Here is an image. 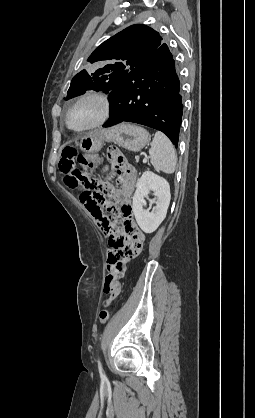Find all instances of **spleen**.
Masks as SVG:
<instances>
[{"label": "spleen", "mask_w": 255, "mask_h": 418, "mask_svg": "<svg viewBox=\"0 0 255 418\" xmlns=\"http://www.w3.org/2000/svg\"><path fill=\"white\" fill-rule=\"evenodd\" d=\"M151 164L158 172L171 174L175 171L177 156L168 137L157 131L149 149Z\"/></svg>", "instance_id": "spleen-1"}]
</instances>
